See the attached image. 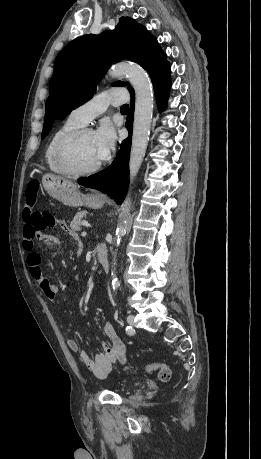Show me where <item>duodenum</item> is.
I'll return each mask as SVG.
<instances>
[{"instance_id": "duodenum-1", "label": "duodenum", "mask_w": 261, "mask_h": 459, "mask_svg": "<svg viewBox=\"0 0 261 459\" xmlns=\"http://www.w3.org/2000/svg\"><path fill=\"white\" fill-rule=\"evenodd\" d=\"M95 253L98 262L102 266V268L107 271L109 268V262H108V256H107V250L103 244H97L95 247Z\"/></svg>"}]
</instances>
